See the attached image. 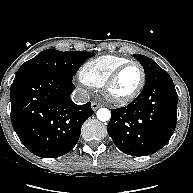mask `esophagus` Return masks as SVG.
<instances>
[{
	"label": "esophagus",
	"mask_w": 193,
	"mask_h": 193,
	"mask_svg": "<svg viewBox=\"0 0 193 193\" xmlns=\"http://www.w3.org/2000/svg\"><path fill=\"white\" fill-rule=\"evenodd\" d=\"M102 105L100 103H97V102H92L91 103V107L94 111H96L98 108H100Z\"/></svg>",
	"instance_id": "34e87169"
}]
</instances>
